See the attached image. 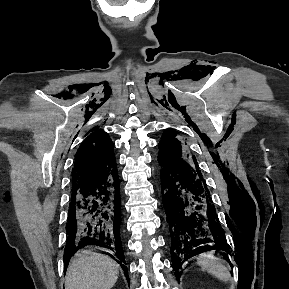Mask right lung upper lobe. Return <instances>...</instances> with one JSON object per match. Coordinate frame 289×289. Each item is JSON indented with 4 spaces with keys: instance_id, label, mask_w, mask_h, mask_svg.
<instances>
[{
    "instance_id": "obj_1",
    "label": "right lung upper lobe",
    "mask_w": 289,
    "mask_h": 289,
    "mask_svg": "<svg viewBox=\"0 0 289 289\" xmlns=\"http://www.w3.org/2000/svg\"><path fill=\"white\" fill-rule=\"evenodd\" d=\"M94 128L78 148L72 169V189L116 172L113 143L107 133Z\"/></svg>"
}]
</instances>
